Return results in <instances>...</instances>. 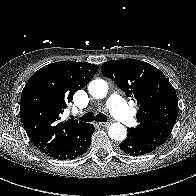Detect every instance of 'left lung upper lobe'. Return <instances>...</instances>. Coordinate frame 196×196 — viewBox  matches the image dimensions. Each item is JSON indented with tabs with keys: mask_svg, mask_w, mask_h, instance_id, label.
<instances>
[{
	"mask_svg": "<svg viewBox=\"0 0 196 196\" xmlns=\"http://www.w3.org/2000/svg\"><path fill=\"white\" fill-rule=\"evenodd\" d=\"M101 72L138 103L139 125L128 128V134L155 147L162 145L178 115L177 95L167 78L153 65L136 59L105 62Z\"/></svg>",
	"mask_w": 196,
	"mask_h": 196,
	"instance_id": "obj_1",
	"label": "left lung upper lobe"
}]
</instances>
